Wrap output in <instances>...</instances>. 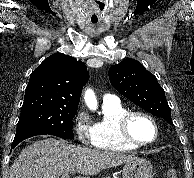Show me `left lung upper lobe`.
<instances>
[{"label": "left lung upper lobe", "mask_w": 194, "mask_h": 178, "mask_svg": "<svg viewBox=\"0 0 194 178\" xmlns=\"http://www.w3.org/2000/svg\"><path fill=\"white\" fill-rule=\"evenodd\" d=\"M112 86L152 115L173 125L165 92L156 77L135 59H126L109 69Z\"/></svg>", "instance_id": "obj_1"}]
</instances>
